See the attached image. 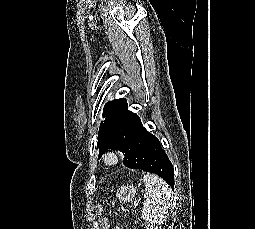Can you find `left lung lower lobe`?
<instances>
[{"mask_svg": "<svg viewBox=\"0 0 255 229\" xmlns=\"http://www.w3.org/2000/svg\"><path fill=\"white\" fill-rule=\"evenodd\" d=\"M110 126L129 139L123 161L126 167L155 173L174 189V170L168 156L140 118L128 111L126 100L112 113Z\"/></svg>", "mask_w": 255, "mask_h": 229, "instance_id": "left-lung-lower-lobe-1", "label": "left lung lower lobe"}]
</instances>
